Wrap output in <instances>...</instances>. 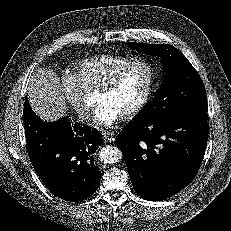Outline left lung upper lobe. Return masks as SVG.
<instances>
[{
    "label": "left lung upper lobe",
    "mask_w": 231,
    "mask_h": 231,
    "mask_svg": "<svg viewBox=\"0 0 231 231\" xmlns=\"http://www.w3.org/2000/svg\"><path fill=\"white\" fill-rule=\"evenodd\" d=\"M138 51L162 59L166 76L155 98L134 117L133 121L157 122L180 113L206 108L204 84L188 59L169 44L128 43Z\"/></svg>",
    "instance_id": "5c2ea615"
}]
</instances>
